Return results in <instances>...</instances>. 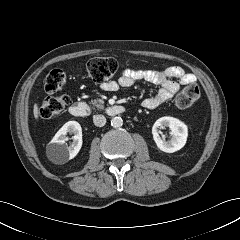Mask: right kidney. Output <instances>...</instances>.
<instances>
[{"mask_svg": "<svg viewBox=\"0 0 240 240\" xmlns=\"http://www.w3.org/2000/svg\"><path fill=\"white\" fill-rule=\"evenodd\" d=\"M74 133L71 145L65 144L68 138L67 133ZM82 128L76 121H68L55 134L47 146V155L55 164H64L73 159L82 147Z\"/></svg>", "mask_w": 240, "mask_h": 240, "instance_id": "1", "label": "right kidney"}]
</instances>
